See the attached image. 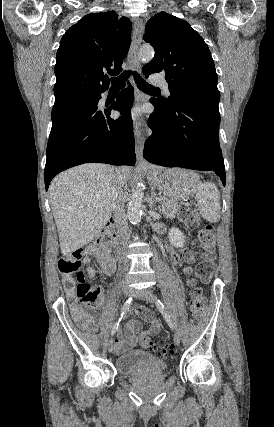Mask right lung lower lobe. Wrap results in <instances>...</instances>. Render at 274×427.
<instances>
[{"instance_id": "obj_1", "label": "right lung lower lobe", "mask_w": 274, "mask_h": 427, "mask_svg": "<svg viewBox=\"0 0 274 427\" xmlns=\"http://www.w3.org/2000/svg\"><path fill=\"white\" fill-rule=\"evenodd\" d=\"M102 93V92H101ZM101 93L52 111V128L47 145L45 166L46 190L61 171L83 163L100 162L113 165H134L136 162L130 108L133 87L107 109L97 104ZM122 116L113 120L111 110Z\"/></svg>"}]
</instances>
